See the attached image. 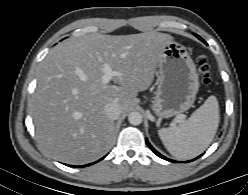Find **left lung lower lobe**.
Returning a JSON list of instances; mask_svg holds the SVG:
<instances>
[{
  "instance_id": "0a47b994",
  "label": "left lung lower lobe",
  "mask_w": 248,
  "mask_h": 195,
  "mask_svg": "<svg viewBox=\"0 0 248 195\" xmlns=\"http://www.w3.org/2000/svg\"><path fill=\"white\" fill-rule=\"evenodd\" d=\"M204 43H205V41H204ZM146 143H147V145L150 147V149H151L157 156H159L160 158L165 159V160L170 161V162H175V161H173V160H171V159H168V158L164 157V156L161 155L159 152H157V151L151 146V144L148 142V140H146ZM187 162H190V161H187Z\"/></svg>"
}]
</instances>
